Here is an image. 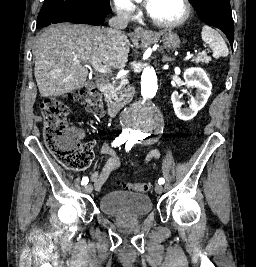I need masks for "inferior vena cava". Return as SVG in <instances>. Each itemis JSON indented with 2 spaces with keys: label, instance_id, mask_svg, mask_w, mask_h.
<instances>
[{
  "label": "inferior vena cava",
  "instance_id": "obj_1",
  "mask_svg": "<svg viewBox=\"0 0 256 267\" xmlns=\"http://www.w3.org/2000/svg\"><path fill=\"white\" fill-rule=\"evenodd\" d=\"M131 18V10L127 6H118L116 10L115 18L109 20L110 28H107V34L110 36H117V38H123L125 40V34H122V30H125L128 26V22Z\"/></svg>",
  "mask_w": 256,
  "mask_h": 267
}]
</instances>
